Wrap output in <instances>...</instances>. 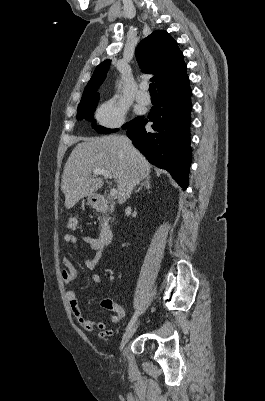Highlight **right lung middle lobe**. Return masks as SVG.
<instances>
[{
  "label": "right lung middle lobe",
  "mask_w": 265,
  "mask_h": 401,
  "mask_svg": "<svg viewBox=\"0 0 265 401\" xmlns=\"http://www.w3.org/2000/svg\"><path fill=\"white\" fill-rule=\"evenodd\" d=\"M98 98H99V96H95L87 101L80 103L78 106V109H77V119L85 118L89 121H92L93 112L95 110V107L97 106ZM139 120H140V117L134 119L133 121H131L129 123H126L125 125H123L122 128L123 129L129 128L130 126H132ZM93 127L95 128V130L98 133H101V134H109V133L118 131V129H108V128L100 127V126L96 127L94 124H93Z\"/></svg>",
  "instance_id": "obj_1"
}]
</instances>
